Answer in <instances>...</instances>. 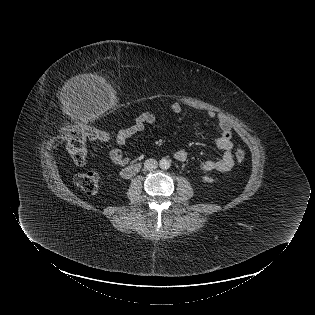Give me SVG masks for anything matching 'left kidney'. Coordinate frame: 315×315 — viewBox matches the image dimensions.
I'll use <instances>...</instances> for the list:
<instances>
[{
  "instance_id": "5707ae66",
  "label": "left kidney",
  "mask_w": 315,
  "mask_h": 315,
  "mask_svg": "<svg viewBox=\"0 0 315 315\" xmlns=\"http://www.w3.org/2000/svg\"><path fill=\"white\" fill-rule=\"evenodd\" d=\"M203 180L206 181V182H213L214 180L208 176H204L203 177Z\"/></svg>"
}]
</instances>
